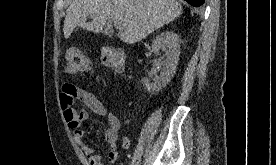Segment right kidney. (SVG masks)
<instances>
[{
  "mask_svg": "<svg viewBox=\"0 0 276 165\" xmlns=\"http://www.w3.org/2000/svg\"><path fill=\"white\" fill-rule=\"evenodd\" d=\"M160 50L165 52L166 57L162 61L163 71L154 83L150 84L147 78L142 80L148 92L152 93L162 90L171 81L176 72L180 55L179 36L173 31H165L158 35L153 41L152 52L159 54Z\"/></svg>",
  "mask_w": 276,
  "mask_h": 165,
  "instance_id": "right-kidney-1",
  "label": "right kidney"
}]
</instances>
